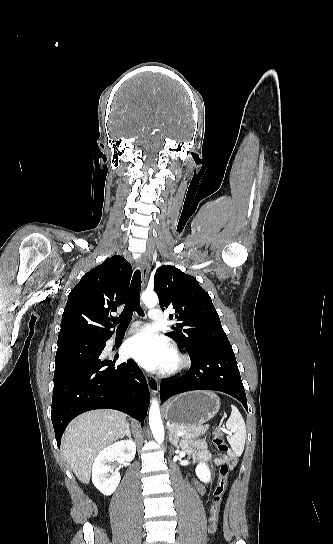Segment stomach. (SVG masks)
Here are the masks:
<instances>
[{
	"mask_svg": "<svg viewBox=\"0 0 333 544\" xmlns=\"http://www.w3.org/2000/svg\"><path fill=\"white\" fill-rule=\"evenodd\" d=\"M220 408V398L209 391L181 394L165 407V416L172 424L197 426L212 419Z\"/></svg>",
	"mask_w": 333,
	"mask_h": 544,
	"instance_id": "obj_1",
	"label": "stomach"
}]
</instances>
